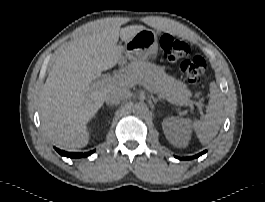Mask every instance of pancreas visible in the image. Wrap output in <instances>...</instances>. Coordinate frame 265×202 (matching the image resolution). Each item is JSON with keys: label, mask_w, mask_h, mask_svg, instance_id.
Returning a JSON list of instances; mask_svg holds the SVG:
<instances>
[{"label": "pancreas", "mask_w": 265, "mask_h": 202, "mask_svg": "<svg viewBox=\"0 0 265 202\" xmlns=\"http://www.w3.org/2000/svg\"><path fill=\"white\" fill-rule=\"evenodd\" d=\"M127 76L131 83H147L153 92L175 101L178 105H187L193 108V102L190 100L191 91L187 86L168 76L164 70L149 62H132L128 65Z\"/></svg>", "instance_id": "pancreas-1"}]
</instances>
